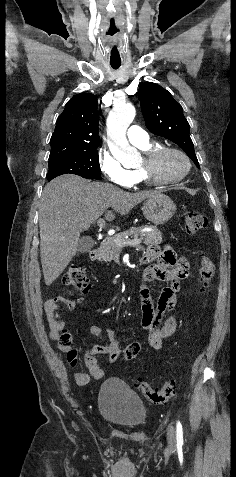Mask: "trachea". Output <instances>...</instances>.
<instances>
[{
	"label": "trachea",
	"mask_w": 236,
	"mask_h": 477,
	"mask_svg": "<svg viewBox=\"0 0 236 477\" xmlns=\"http://www.w3.org/2000/svg\"><path fill=\"white\" fill-rule=\"evenodd\" d=\"M120 66H121V63H111V67L115 70L118 69Z\"/></svg>",
	"instance_id": "1"
}]
</instances>
